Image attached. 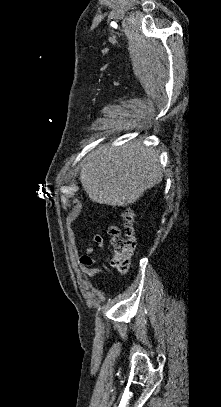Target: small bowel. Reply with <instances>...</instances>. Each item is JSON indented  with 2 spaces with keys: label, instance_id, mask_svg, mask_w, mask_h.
Wrapping results in <instances>:
<instances>
[{
  "label": "small bowel",
  "instance_id": "obj_1",
  "mask_svg": "<svg viewBox=\"0 0 221 407\" xmlns=\"http://www.w3.org/2000/svg\"><path fill=\"white\" fill-rule=\"evenodd\" d=\"M92 239L99 249H103L104 241L100 235L93 234ZM94 248L92 245H87L83 248L81 257L79 259V268L89 277H102L103 270L100 267H96V259L93 256Z\"/></svg>",
  "mask_w": 221,
  "mask_h": 407
}]
</instances>
